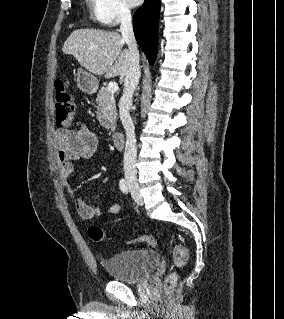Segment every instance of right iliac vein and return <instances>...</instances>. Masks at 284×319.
Listing matches in <instances>:
<instances>
[{"mask_svg":"<svg viewBox=\"0 0 284 319\" xmlns=\"http://www.w3.org/2000/svg\"><path fill=\"white\" fill-rule=\"evenodd\" d=\"M125 177H126L128 188H129L133 198L138 203H142L143 197H142V194L140 192V187L137 183V179H136L135 174L132 171H126Z\"/></svg>","mask_w":284,"mask_h":319,"instance_id":"obj_1","label":"right iliac vein"}]
</instances>
